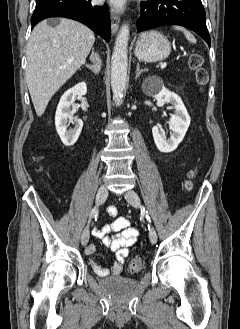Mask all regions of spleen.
Segmentation results:
<instances>
[{"label": "spleen", "mask_w": 240, "mask_h": 329, "mask_svg": "<svg viewBox=\"0 0 240 329\" xmlns=\"http://www.w3.org/2000/svg\"><path fill=\"white\" fill-rule=\"evenodd\" d=\"M175 30H179L182 31L186 37V39L190 42V43H196V39L195 37L186 29H184L183 27H179V26H174Z\"/></svg>", "instance_id": "obj_1"}]
</instances>
